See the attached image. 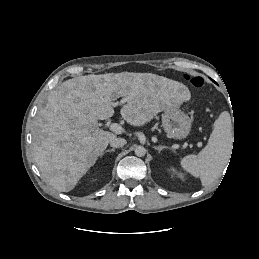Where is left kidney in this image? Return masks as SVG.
I'll list each match as a JSON object with an SVG mask.
<instances>
[{"label":"left kidney","mask_w":259,"mask_h":259,"mask_svg":"<svg viewBox=\"0 0 259 259\" xmlns=\"http://www.w3.org/2000/svg\"><path fill=\"white\" fill-rule=\"evenodd\" d=\"M171 170H172L174 173H177V172H176V169L172 168ZM178 175H179L180 177H182V174L179 173Z\"/></svg>","instance_id":"5707ae66"}]
</instances>
